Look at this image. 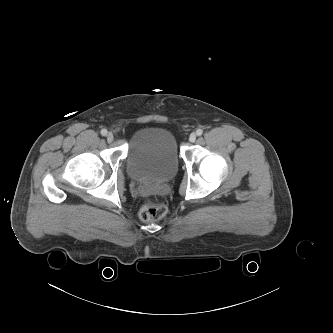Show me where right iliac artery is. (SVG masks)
<instances>
[{
	"label": "right iliac artery",
	"instance_id": "82829eb1",
	"mask_svg": "<svg viewBox=\"0 0 333 333\" xmlns=\"http://www.w3.org/2000/svg\"><path fill=\"white\" fill-rule=\"evenodd\" d=\"M107 133H108V131H107L106 129H102V130H101V134H102L103 136H106Z\"/></svg>",
	"mask_w": 333,
	"mask_h": 333
}]
</instances>
